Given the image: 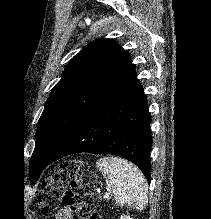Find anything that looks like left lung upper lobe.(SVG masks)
<instances>
[{"label": "left lung upper lobe", "instance_id": "1", "mask_svg": "<svg viewBox=\"0 0 211 219\" xmlns=\"http://www.w3.org/2000/svg\"><path fill=\"white\" fill-rule=\"evenodd\" d=\"M131 66L130 55L113 39H97L83 48L52 89L37 125L34 152L56 155L85 113ZM42 170L31 157L32 184Z\"/></svg>", "mask_w": 211, "mask_h": 219}]
</instances>
